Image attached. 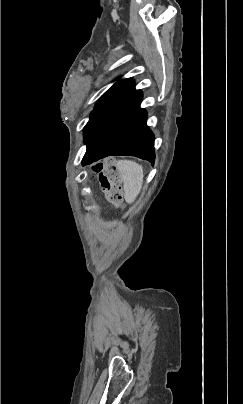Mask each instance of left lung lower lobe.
Returning a JSON list of instances; mask_svg holds the SVG:
<instances>
[{
    "instance_id": "obj_1",
    "label": "left lung lower lobe",
    "mask_w": 243,
    "mask_h": 404,
    "mask_svg": "<svg viewBox=\"0 0 243 404\" xmlns=\"http://www.w3.org/2000/svg\"><path fill=\"white\" fill-rule=\"evenodd\" d=\"M141 101L142 92L136 90L98 118L84 140L83 165L110 155L136 156L154 164V134L146 125Z\"/></svg>"
}]
</instances>
